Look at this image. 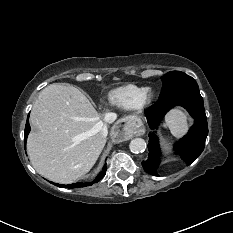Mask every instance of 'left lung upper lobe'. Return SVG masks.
<instances>
[{"instance_id":"obj_1","label":"left lung upper lobe","mask_w":233,"mask_h":233,"mask_svg":"<svg viewBox=\"0 0 233 233\" xmlns=\"http://www.w3.org/2000/svg\"><path fill=\"white\" fill-rule=\"evenodd\" d=\"M163 91L161 98H164L174 91L186 87H198L196 81L189 75L180 71H170L161 77Z\"/></svg>"}]
</instances>
